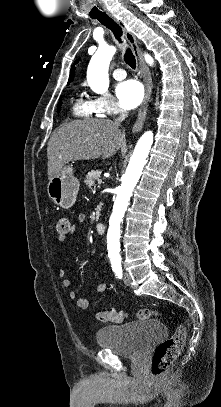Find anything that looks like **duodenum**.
Segmentation results:
<instances>
[{
    "instance_id": "1",
    "label": "duodenum",
    "mask_w": 221,
    "mask_h": 407,
    "mask_svg": "<svg viewBox=\"0 0 221 407\" xmlns=\"http://www.w3.org/2000/svg\"><path fill=\"white\" fill-rule=\"evenodd\" d=\"M96 231H97L98 234H103L104 231H105V224L102 223V222H98L96 224Z\"/></svg>"
}]
</instances>
